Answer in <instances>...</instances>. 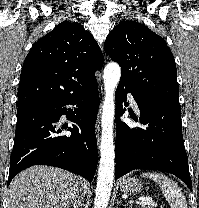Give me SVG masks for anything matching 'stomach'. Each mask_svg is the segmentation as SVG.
<instances>
[{
    "label": "stomach",
    "mask_w": 199,
    "mask_h": 208,
    "mask_svg": "<svg viewBox=\"0 0 199 208\" xmlns=\"http://www.w3.org/2000/svg\"><path fill=\"white\" fill-rule=\"evenodd\" d=\"M120 190L122 193L135 195L142 190V184L136 178H123L120 181Z\"/></svg>",
    "instance_id": "obj_1"
}]
</instances>
